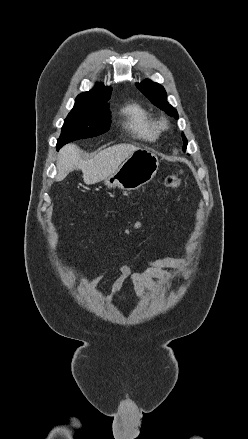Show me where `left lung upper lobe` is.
I'll list each match as a JSON object with an SVG mask.
<instances>
[{
	"instance_id": "obj_1",
	"label": "left lung upper lobe",
	"mask_w": 248,
	"mask_h": 439,
	"mask_svg": "<svg viewBox=\"0 0 248 439\" xmlns=\"http://www.w3.org/2000/svg\"><path fill=\"white\" fill-rule=\"evenodd\" d=\"M136 86L154 105L164 110L168 115L178 119V113L176 109H174L167 102V94L163 86L148 79L140 84L137 83ZM183 143H184L183 150H185L187 146V139L185 138L184 135H183Z\"/></svg>"
}]
</instances>
